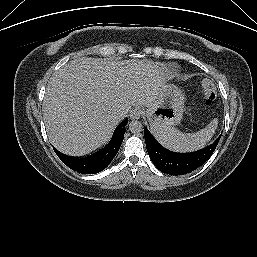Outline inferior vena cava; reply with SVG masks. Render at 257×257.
Listing matches in <instances>:
<instances>
[{"label":"inferior vena cava","mask_w":257,"mask_h":257,"mask_svg":"<svg viewBox=\"0 0 257 257\" xmlns=\"http://www.w3.org/2000/svg\"><path fill=\"white\" fill-rule=\"evenodd\" d=\"M125 117H127V111H119V112L117 113V118H118L119 120H123Z\"/></svg>","instance_id":"obj_1"}]
</instances>
